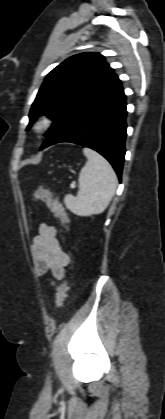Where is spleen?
Masks as SVG:
<instances>
[{
    "label": "spleen",
    "mask_w": 165,
    "mask_h": 419,
    "mask_svg": "<svg viewBox=\"0 0 165 419\" xmlns=\"http://www.w3.org/2000/svg\"><path fill=\"white\" fill-rule=\"evenodd\" d=\"M87 163L79 174L77 196L66 195L64 203L74 214H100L110 204L117 187V176L109 162L96 151L84 148Z\"/></svg>",
    "instance_id": "3e777b00"
}]
</instances>
